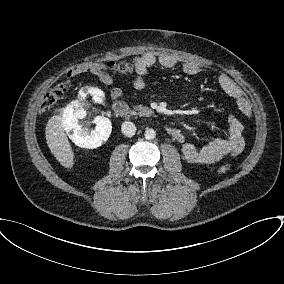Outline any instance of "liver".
Segmentation results:
<instances>
[{
	"label": "liver",
	"instance_id": "6515ba94",
	"mask_svg": "<svg viewBox=\"0 0 284 284\" xmlns=\"http://www.w3.org/2000/svg\"><path fill=\"white\" fill-rule=\"evenodd\" d=\"M45 134L51 153L62 166L71 169L74 165V153L65 133L61 115H54L48 120Z\"/></svg>",
	"mask_w": 284,
	"mask_h": 284
}]
</instances>
